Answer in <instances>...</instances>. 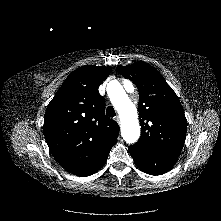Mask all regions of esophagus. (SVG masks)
Segmentation results:
<instances>
[{
	"instance_id": "34e87169",
	"label": "esophagus",
	"mask_w": 221,
	"mask_h": 221,
	"mask_svg": "<svg viewBox=\"0 0 221 221\" xmlns=\"http://www.w3.org/2000/svg\"><path fill=\"white\" fill-rule=\"evenodd\" d=\"M115 121H116L117 123H120V118H119L118 116H116V117H115Z\"/></svg>"
}]
</instances>
